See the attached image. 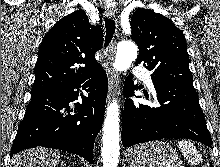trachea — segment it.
<instances>
[{
	"instance_id": "1",
	"label": "trachea",
	"mask_w": 220,
	"mask_h": 167,
	"mask_svg": "<svg viewBox=\"0 0 220 167\" xmlns=\"http://www.w3.org/2000/svg\"><path fill=\"white\" fill-rule=\"evenodd\" d=\"M105 27H106L105 48H107L113 38L114 33H115V22L112 19L106 18L105 19Z\"/></svg>"
}]
</instances>
